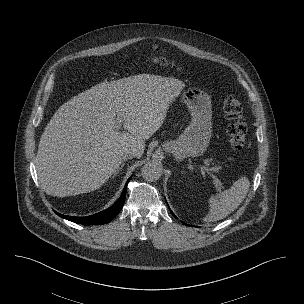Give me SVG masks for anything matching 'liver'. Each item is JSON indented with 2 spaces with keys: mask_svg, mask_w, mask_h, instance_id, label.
Returning <instances> with one entry per match:
<instances>
[{
  "mask_svg": "<svg viewBox=\"0 0 304 304\" xmlns=\"http://www.w3.org/2000/svg\"><path fill=\"white\" fill-rule=\"evenodd\" d=\"M184 87L175 78L139 74L101 82L64 103L40 138L35 164L42 189L66 197L100 188L127 150L142 156L144 140Z\"/></svg>",
  "mask_w": 304,
  "mask_h": 304,
  "instance_id": "obj_1",
  "label": "liver"
}]
</instances>
